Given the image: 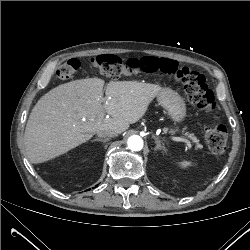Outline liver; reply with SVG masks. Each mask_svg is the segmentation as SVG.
<instances>
[{
    "mask_svg": "<svg viewBox=\"0 0 250 250\" xmlns=\"http://www.w3.org/2000/svg\"><path fill=\"white\" fill-rule=\"evenodd\" d=\"M88 78L51 89L36 103L27 121L24 144L32 163L53 159L85 143L101 129L127 130L146 113L162 88L137 81ZM107 113L110 118H105Z\"/></svg>",
    "mask_w": 250,
    "mask_h": 250,
    "instance_id": "6515ba94",
    "label": "liver"
}]
</instances>
